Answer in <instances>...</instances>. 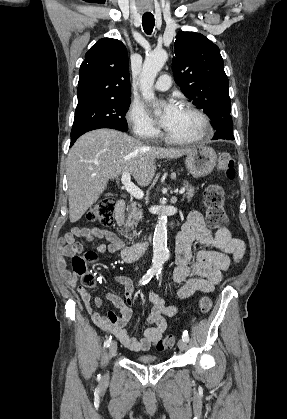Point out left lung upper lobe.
Returning <instances> with one entry per match:
<instances>
[{
  "instance_id": "left-lung-upper-lobe-1",
  "label": "left lung upper lobe",
  "mask_w": 287,
  "mask_h": 419,
  "mask_svg": "<svg viewBox=\"0 0 287 419\" xmlns=\"http://www.w3.org/2000/svg\"><path fill=\"white\" fill-rule=\"evenodd\" d=\"M174 48L175 81L218 129L231 112L229 82L218 46L200 33L179 32Z\"/></svg>"
}]
</instances>
